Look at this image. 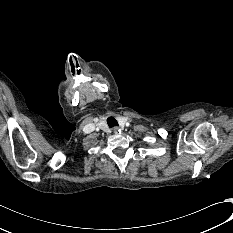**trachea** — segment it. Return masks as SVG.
Returning a JSON list of instances; mask_svg holds the SVG:
<instances>
[{
	"label": "trachea",
	"instance_id": "1",
	"mask_svg": "<svg viewBox=\"0 0 233 233\" xmlns=\"http://www.w3.org/2000/svg\"><path fill=\"white\" fill-rule=\"evenodd\" d=\"M107 122H108V125L110 128H112L114 126H118L117 121L113 117L108 118Z\"/></svg>",
	"mask_w": 233,
	"mask_h": 233
}]
</instances>
